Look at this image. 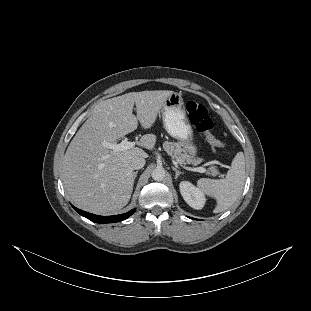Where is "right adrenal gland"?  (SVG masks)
<instances>
[{
	"instance_id": "right-adrenal-gland-1",
	"label": "right adrenal gland",
	"mask_w": 311,
	"mask_h": 311,
	"mask_svg": "<svg viewBox=\"0 0 311 311\" xmlns=\"http://www.w3.org/2000/svg\"><path fill=\"white\" fill-rule=\"evenodd\" d=\"M137 174H138V171H135V172H133V185H134V181H135V179H136V177H137Z\"/></svg>"
}]
</instances>
